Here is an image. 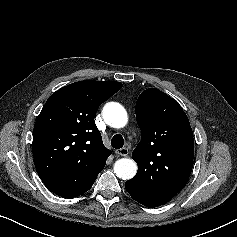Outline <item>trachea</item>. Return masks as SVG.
I'll return each mask as SVG.
<instances>
[{
  "label": "trachea",
  "instance_id": "3493384b",
  "mask_svg": "<svg viewBox=\"0 0 237 237\" xmlns=\"http://www.w3.org/2000/svg\"><path fill=\"white\" fill-rule=\"evenodd\" d=\"M124 145V139L122 135L116 134L111 139V146L115 149H120Z\"/></svg>",
  "mask_w": 237,
  "mask_h": 237
}]
</instances>
